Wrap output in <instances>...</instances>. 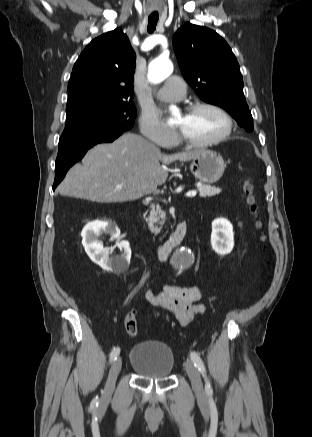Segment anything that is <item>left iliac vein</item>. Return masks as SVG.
Here are the masks:
<instances>
[{
	"label": "left iliac vein",
	"instance_id": "obj_1",
	"mask_svg": "<svg viewBox=\"0 0 312 437\" xmlns=\"http://www.w3.org/2000/svg\"><path fill=\"white\" fill-rule=\"evenodd\" d=\"M185 369H186V372L191 380L192 387H193L195 394L199 398H203L205 393H204L203 383H202L198 369L196 368L194 363L190 360H187L185 362Z\"/></svg>",
	"mask_w": 312,
	"mask_h": 437
}]
</instances>
